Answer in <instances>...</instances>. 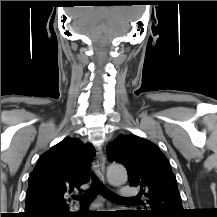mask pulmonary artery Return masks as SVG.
Returning <instances> with one entry per match:
<instances>
[{
    "label": "pulmonary artery",
    "mask_w": 217,
    "mask_h": 217,
    "mask_svg": "<svg viewBox=\"0 0 217 217\" xmlns=\"http://www.w3.org/2000/svg\"><path fill=\"white\" fill-rule=\"evenodd\" d=\"M120 194L123 198L130 199L138 194V190L135 187L123 186Z\"/></svg>",
    "instance_id": "pulmonary-artery-1"
}]
</instances>
